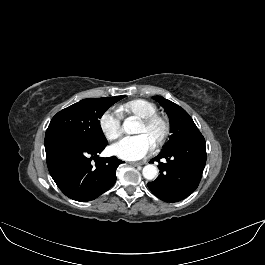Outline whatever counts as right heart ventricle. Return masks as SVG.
<instances>
[{"mask_svg": "<svg viewBox=\"0 0 265 265\" xmlns=\"http://www.w3.org/2000/svg\"><path fill=\"white\" fill-rule=\"evenodd\" d=\"M122 114H131L138 118H144L153 114H157V106L145 99H134L122 104L119 107Z\"/></svg>", "mask_w": 265, "mask_h": 265, "instance_id": "e07e8e85", "label": "right heart ventricle"}]
</instances>
